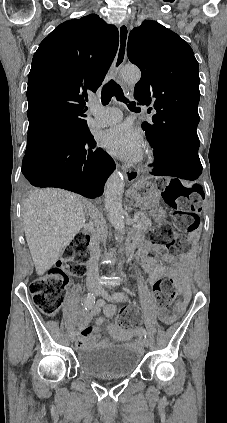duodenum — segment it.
Instances as JSON below:
<instances>
[{"instance_id":"410a0bca","label":"duodenum","mask_w":227,"mask_h":423,"mask_svg":"<svg viewBox=\"0 0 227 423\" xmlns=\"http://www.w3.org/2000/svg\"><path fill=\"white\" fill-rule=\"evenodd\" d=\"M148 241H143L138 247H135L136 252L140 255L145 252Z\"/></svg>"}]
</instances>
